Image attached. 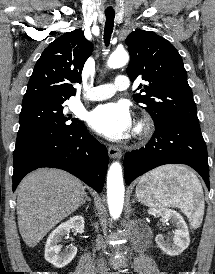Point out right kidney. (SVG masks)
Listing matches in <instances>:
<instances>
[{
	"label": "right kidney",
	"mask_w": 215,
	"mask_h": 274,
	"mask_svg": "<svg viewBox=\"0 0 215 274\" xmlns=\"http://www.w3.org/2000/svg\"><path fill=\"white\" fill-rule=\"evenodd\" d=\"M71 228L82 233L84 231V218L81 215H77L60 224L52 231L46 241L45 259L57 268H63L68 265L77 253V248L73 245L67 247L64 252H60L62 245L59 243L62 237L69 233Z\"/></svg>",
	"instance_id": "right-kidney-1"
}]
</instances>
